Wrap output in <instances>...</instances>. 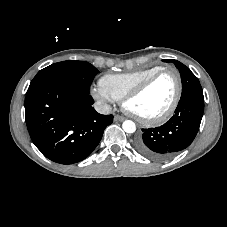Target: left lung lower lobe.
<instances>
[{"label":"left lung lower lobe","instance_id":"0a47b994","mask_svg":"<svg viewBox=\"0 0 227 227\" xmlns=\"http://www.w3.org/2000/svg\"><path fill=\"white\" fill-rule=\"evenodd\" d=\"M203 93L181 96L175 114L165 124L142 129L135 148L143 156L153 160H165L188 147L194 140L204 110Z\"/></svg>","mask_w":227,"mask_h":227}]
</instances>
